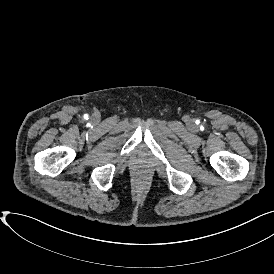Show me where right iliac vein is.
I'll return each instance as SVG.
<instances>
[{
  "label": "right iliac vein",
  "mask_w": 274,
  "mask_h": 274,
  "mask_svg": "<svg viewBox=\"0 0 274 274\" xmlns=\"http://www.w3.org/2000/svg\"><path fill=\"white\" fill-rule=\"evenodd\" d=\"M92 119H93L94 121H98L99 115H98V114H94Z\"/></svg>",
  "instance_id": "1"
}]
</instances>
